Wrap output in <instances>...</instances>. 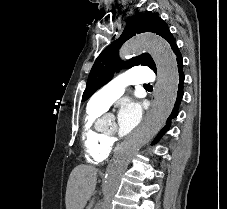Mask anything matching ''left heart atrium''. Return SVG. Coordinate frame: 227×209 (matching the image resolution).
I'll return each mask as SVG.
<instances>
[{"mask_svg": "<svg viewBox=\"0 0 227 209\" xmlns=\"http://www.w3.org/2000/svg\"><path fill=\"white\" fill-rule=\"evenodd\" d=\"M141 117L142 107L138 102L130 99L123 100L118 111L120 133L129 134L139 124Z\"/></svg>", "mask_w": 227, "mask_h": 209, "instance_id": "left-heart-atrium-1", "label": "left heart atrium"}]
</instances>
